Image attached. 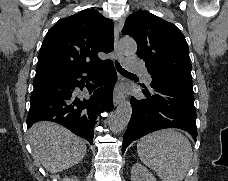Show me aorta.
<instances>
[{"instance_id":"obj_1","label":"aorta","mask_w":228,"mask_h":181,"mask_svg":"<svg viewBox=\"0 0 228 181\" xmlns=\"http://www.w3.org/2000/svg\"><path fill=\"white\" fill-rule=\"evenodd\" d=\"M119 50L124 55H133L137 51L136 42L132 38H123L119 44ZM132 106L129 101H123L116 109L112 118V130H124L131 118Z\"/></svg>"}]
</instances>
